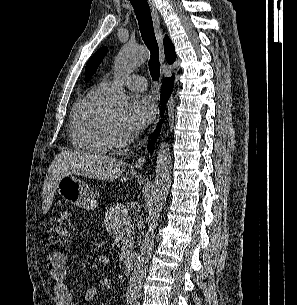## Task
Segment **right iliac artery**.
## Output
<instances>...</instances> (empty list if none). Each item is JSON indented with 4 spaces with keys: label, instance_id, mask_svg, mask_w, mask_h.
Returning <instances> with one entry per match:
<instances>
[{
    "label": "right iliac artery",
    "instance_id": "82829eb1",
    "mask_svg": "<svg viewBox=\"0 0 297 305\" xmlns=\"http://www.w3.org/2000/svg\"><path fill=\"white\" fill-rule=\"evenodd\" d=\"M134 301V299H133V297H128L127 298V303L129 304H131L132 302Z\"/></svg>",
    "mask_w": 297,
    "mask_h": 305
}]
</instances>
